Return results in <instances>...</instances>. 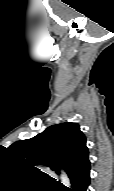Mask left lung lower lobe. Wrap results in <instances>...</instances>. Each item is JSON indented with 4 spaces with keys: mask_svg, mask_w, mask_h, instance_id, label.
<instances>
[{
    "mask_svg": "<svg viewBox=\"0 0 114 191\" xmlns=\"http://www.w3.org/2000/svg\"><path fill=\"white\" fill-rule=\"evenodd\" d=\"M90 161L89 159L81 165L70 177L71 188L61 186L62 191H86L90 183Z\"/></svg>",
    "mask_w": 114,
    "mask_h": 191,
    "instance_id": "obj_1",
    "label": "left lung lower lobe"
}]
</instances>
